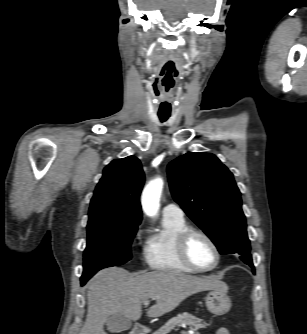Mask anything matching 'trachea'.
I'll use <instances>...</instances> for the list:
<instances>
[{
  "label": "trachea",
  "instance_id": "1",
  "mask_svg": "<svg viewBox=\"0 0 307 334\" xmlns=\"http://www.w3.org/2000/svg\"><path fill=\"white\" fill-rule=\"evenodd\" d=\"M170 117V115H159V119L161 122L167 121V119Z\"/></svg>",
  "mask_w": 307,
  "mask_h": 334
}]
</instances>
